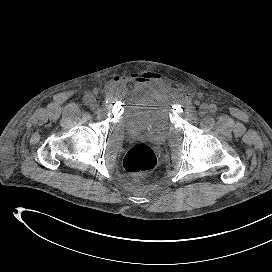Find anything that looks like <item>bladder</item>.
<instances>
[{
	"mask_svg": "<svg viewBox=\"0 0 272 272\" xmlns=\"http://www.w3.org/2000/svg\"><path fill=\"white\" fill-rule=\"evenodd\" d=\"M121 119L129 138L160 144L167 140L170 133V113L166 103L148 96L131 103Z\"/></svg>",
	"mask_w": 272,
	"mask_h": 272,
	"instance_id": "1",
	"label": "bladder"
}]
</instances>
